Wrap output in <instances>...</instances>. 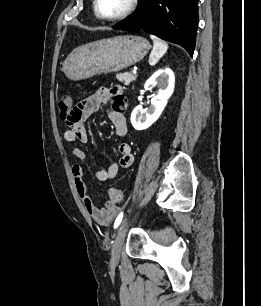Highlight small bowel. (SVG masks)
<instances>
[{"label": "small bowel", "instance_id": "c3829d8e", "mask_svg": "<svg viewBox=\"0 0 261 306\" xmlns=\"http://www.w3.org/2000/svg\"><path fill=\"white\" fill-rule=\"evenodd\" d=\"M111 103L108 115L112 121L116 134L123 137L127 133V123L125 117V99L120 86L110 88L100 87L91 96L79 102L72 110L70 116L65 120L68 128L64 131V140L70 143L86 144L88 142V132L85 127L87 118L96 112L101 104ZM120 159L111 163L107 169L96 171V178L105 182L116 177L120 169L129 168L134 162V155L129 143L122 142L118 146ZM71 155L84 161L87 157L85 151L78 146L71 149ZM72 175L76 190L89 216L99 225H108L117 214L119 207L115 202L108 201L104 207H97L89 193L83 178L82 167L75 163L72 165Z\"/></svg>", "mask_w": 261, "mask_h": 306}]
</instances>
